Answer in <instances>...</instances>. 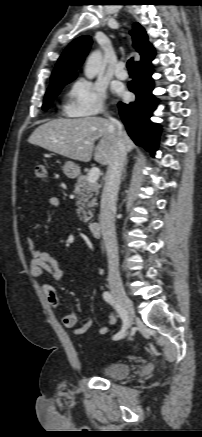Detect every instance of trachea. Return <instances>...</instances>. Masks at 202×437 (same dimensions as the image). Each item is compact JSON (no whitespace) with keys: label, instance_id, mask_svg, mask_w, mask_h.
<instances>
[{"label":"trachea","instance_id":"1","mask_svg":"<svg viewBox=\"0 0 202 437\" xmlns=\"http://www.w3.org/2000/svg\"><path fill=\"white\" fill-rule=\"evenodd\" d=\"M127 69L129 71H134V60L133 58H130L127 62Z\"/></svg>","mask_w":202,"mask_h":437}]
</instances>
